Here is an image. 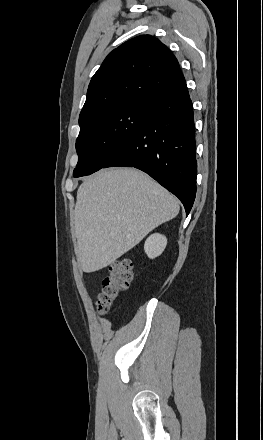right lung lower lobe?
<instances>
[{
  "mask_svg": "<svg viewBox=\"0 0 263 440\" xmlns=\"http://www.w3.org/2000/svg\"><path fill=\"white\" fill-rule=\"evenodd\" d=\"M140 169L176 195L188 215L196 195L193 106L186 82L150 104L137 131L111 153L103 168Z\"/></svg>",
  "mask_w": 263,
  "mask_h": 440,
  "instance_id": "98d812e1",
  "label": "right lung lower lobe"
}]
</instances>
